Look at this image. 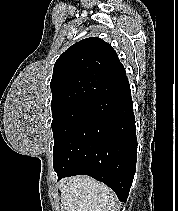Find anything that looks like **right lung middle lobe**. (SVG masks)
<instances>
[{"mask_svg": "<svg viewBox=\"0 0 178 211\" xmlns=\"http://www.w3.org/2000/svg\"><path fill=\"white\" fill-rule=\"evenodd\" d=\"M95 103L94 100H77L52 108L53 153Z\"/></svg>", "mask_w": 178, "mask_h": 211, "instance_id": "dd1d6c3e", "label": "right lung middle lobe"}]
</instances>
